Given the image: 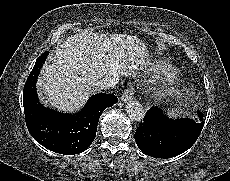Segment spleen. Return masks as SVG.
<instances>
[{
	"mask_svg": "<svg viewBox=\"0 0 230 181\" xmlns=\"http://www.w3.org/2000/svg\"><path fill=\"white\" fill-rule=\"evenodd\" d=\"M179 110H177V109H172V110H169L168 112H169V114L170 115H172V116H175V113H177Z\"/></svg>",
	"mask_w": 230,
	"mask_h": 181,
	"instance_id": "3e777b00",
	"label": "spleen"
}]
</instances>
